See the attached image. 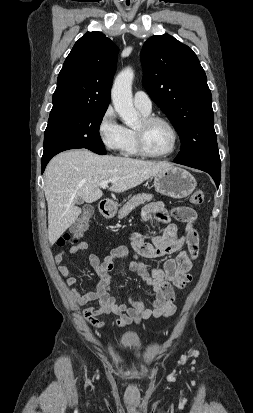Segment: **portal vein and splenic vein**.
<instances>
[{
	"mask_svg": "<svg viewBox=\"0 0 253 413\" xmlns=\"http://www.w3.org/2000/svg\"><path fill=\"white\" fill-rule=\"evenodd\" d=\"M110 182H115V180H114V179H111V180H109V181H103V182L100 183V187H101L102 189H106L107 186H108V183H110Z\"/></svg>",
	"mask_w": 253,
	"mask_h": 413,
	"instance_id": "18ae733b",
	"label": "portal vein and splenic vein"
}]
</instances>
